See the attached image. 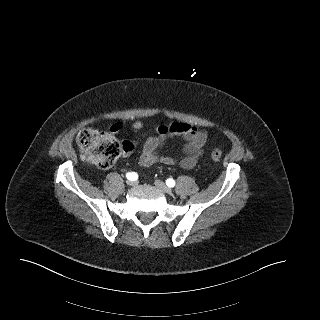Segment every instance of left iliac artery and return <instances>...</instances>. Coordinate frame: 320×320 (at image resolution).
<instances>
[{"mask_svg": "<svg viewBox=\"0 0 320 320\" xmlns=\"http://www.w3.org/2000/svg\"><path fill=\"white\" fill-rule=\"evenodd\" d=\"M166 184L169 187H174L175 186V181L173 179H167Z\"/></svg>", "mask_w": 320, "mask_h": 320, "instance_id": "44dca946", "label": "left iliac artery"}]
</instances>
